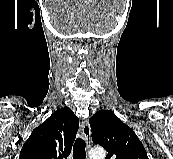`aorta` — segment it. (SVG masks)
Here are the masks:
<instances>
[{
    "instance_id": "aorta-1",
    "label": "aorta",
    "mask_w": 173,
    "mask_h": 159,
    "mask_svg": "<svg viewBox=\"0 0 173 159\" xmlns=\"http://www.w3.org/2000/svg\"><path fill=\"white\" fill-rule=\"evenodd\" d=\"M106 153L102 147L92 148L89 152L90 159H105Z\"/></svg>"
}]
</instances>
